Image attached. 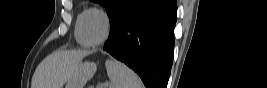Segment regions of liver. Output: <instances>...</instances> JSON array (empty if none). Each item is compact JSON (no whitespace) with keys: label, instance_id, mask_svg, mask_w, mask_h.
I'll list each match as a JSON object with an SVG mask.
<instances>
[{"label":"liver","instance_id":"6515ba94","mask_svg":"<svg viewBox=\"0 0 267 88\" xmlns=\"http://www.w3.org/2000/svg\"><path fill=\"white\" fill-rule=\"evenodd\" d=\"M90 51H57L48 55L36 68L31 88H62L81 60Z\"/></svg>","mask_w":267,"mask_h":88}]
</instances>
